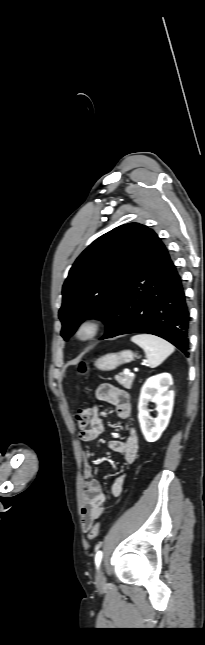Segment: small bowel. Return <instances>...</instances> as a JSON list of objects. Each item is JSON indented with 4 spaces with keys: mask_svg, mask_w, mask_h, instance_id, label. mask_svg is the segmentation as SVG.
<instances>
[{
    "mask_svg": "<svg viewBox=\"0 0 205 645\" xmlns=\"http://www.w3.org/2000/svg\"><path fill=\"white\" fill-rule=\"evenodd\" d=\"M96 399L114 406L117 416L121 420H128L131 414V404L128 394L111 384L103 383L98 386L95 393ZM93 417L89 428L80 432L79 437L84 442L95 441L104 431L103 420L98 413V408H92ZM109 447L112 451L123 456L126 465H131L137 458L139 440L136 429L133 426L127 427L125 440H111ZM83 474L85 477V490L83 494V505L81 508L82 528L89 531L95 520L104 513L106 495L100 482L95 479L93 466L88 456L83 454ZM127 480V472L121 471L111 485V494L118 497L122 494Z\"/></svg>",
    "mask_w": 205,
    "mask_h": 645,
    "instance_id": "obj_1",
    "label": "small bowel"
}]
</instances>
